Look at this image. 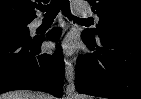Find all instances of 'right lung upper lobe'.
Here are the masks:
<instances>
[{
	"instance_id": "1",
	"label": "right lung upper lobe",
	"mask_w": 141,
	"mask_h": 99,
	"mask_svg": "<svg viewBox=\"0 0 141 99\" xmlns=\"http://www.w3.org/2000/svg\"><path fill=\"white\" fill-rule=\"evenodd\" d=\"M37 2L40 3L39 0H0V22L32 21L36 18Z\"/></svg>"
}]
</instances>
